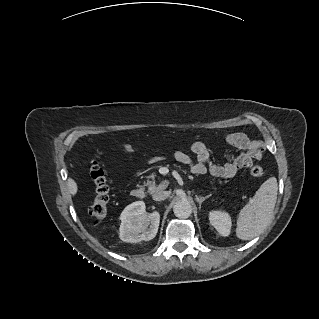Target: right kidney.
Masks as SVG:
<instances>
[{
  "label": "right kidney",
  "mask_w": 319,
  "mask_h": 319,
  "mask_svg": "<svg viewBox=\"0 0 319 319\" xmlns=\"http://www.w3.org/2000/svg\"><path fill=\"white\" fill-rule=\"evenodd\" d=\"M120 219V239L125 242L136 243L143 240H152L156 236L160 214L157 211L147 214L145 203L136 201L123 210Z\"/></svg>",
  "instance_id": "obj_1"
}]
</instances>
